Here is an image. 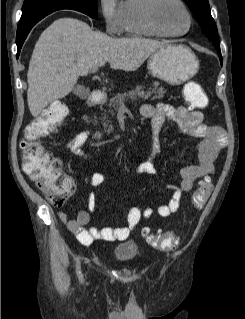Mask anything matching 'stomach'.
Returning <instances> with one entry per match:
<instances>
[{
  "label": "stomach",
  "mask_w": 245,
  "mask_h": 319,
  "mask_svg": "<svg viewBox=\"0 0 245 319\" xmlns=\"http://www.w3.org/2000/svg\"><path fill=\"white\" fill-rule=\"evenodd\" d=\"M147 67L159 79L179 85L197 73L199 61L184 45H166L151 54Z\"/></svg>",
  "instance_id": "1"
}]
</instances>
